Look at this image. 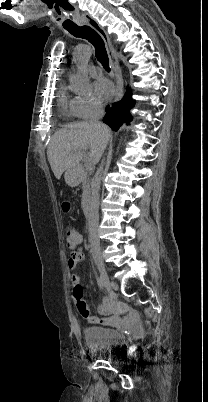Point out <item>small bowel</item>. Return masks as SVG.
Segmentation results:
<instances>
[{
    "label": "small bowel",
    "instance_id": "c3829d8e",
    "mask_svg": "<svg viewBox=\"0 0 208 402\" xmlns=\"http://www.w3.org/2000/svg\"><path fill=\"white\" fill-rule=\"evenodd\" d=\"M80 241L81 237L79 236V242ZM83 257L84 254L82 252H72L71 258L67 259V264L75 266ZM71 282L73 285V298H83L84 291L80 285L79 276L77 274H73L71 276ZM99 310L103 314L102 317L88 316L87 319H89L90 322L102 324L103 327H107L108 324H117V327L120 330H134L136 328V323L140 321V318L138 317L139 312L137 309H130L128 315H126V311L122 309V304L110 299L105 300Z\"/></svg>",
    "mask_w": 208,
    "mask_h": 402
}]
</instances>
